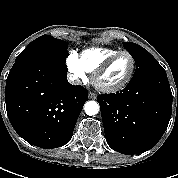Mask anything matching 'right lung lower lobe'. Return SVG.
Instances as JSON below:
<instances>
[{
	"instance_id": "right-lung-lower-lobe-1",
	"label": "right lung lower lobe",
	"mask_w": 178,
	"mask_h": 178,
	"mask_svg": "<svg viewBox=\"0 0 178 178\" xmlns=\"http://www.w3.org/2000/svg\"><path fill=\"white\" fill-rule=\"evenodd\" d=\"M58 62L15 63L6 80L5 102L14 130L28 143L57 148L70 141L88 91L67 80Z\"/></svg>"
}]
</instances>
